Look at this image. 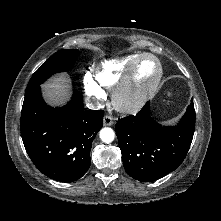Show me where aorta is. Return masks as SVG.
I'll return each mask as SVG.
<instances>
[{
    "label": "aorta",
    "mask_w": 221,
    "mask_h": 221,
    "mask_svg": "<svg viewBox=\"0 0 221 221\" xmlns=\"http://www.w3.org/2000/svg\"><path fill=\"white\" fill-rule=\"evenodd\" d=\"M99 136L104 143H111L115 138V133L111 128L105 127L100 130Z\"/></svg>",
    "instance_id": "1"
}]
</instances>
